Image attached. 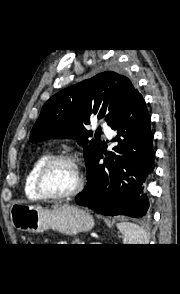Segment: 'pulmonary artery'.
Listing matches in <instances>:
<instances>
[{
	"label": "pulmonary artery",
	"instance_id": "pulmonary-artery-1",
	"mask_svg": "<svg viewBox=\"0 0 180 294\" xmlns=\"http://www.w3.org/2000/svg\"><path fill=\"white\" fill-rule=\"evenodd\" d=\"M99 127L105 132L108 139H111L114 135V131L106 123H100Z\"/></svg>",
	"mask_w": 180,
	"mask_h": 294
}]
</instances>
